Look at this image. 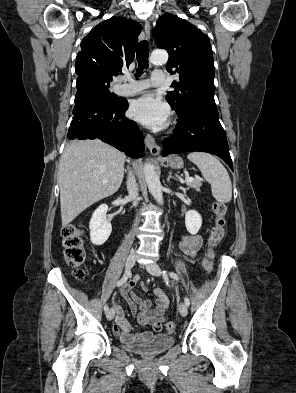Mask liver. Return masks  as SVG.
<instances>
[{
    "label": "liver",
    "instance_id": "1",
    "mask_svg": "<svg viewBox=\"0 0 296 393\" xmlns=\"http://www.w3.org/2000/svg\"><path fill=\"white\" fill-rule=\"evenodd\" d=\"M125 159L124 153L98 139L66 145L58 168L62 227L118 191Z\"/></svg>",
    "mask_w": 296,
    "mask_h": 393
}]
</instances>
